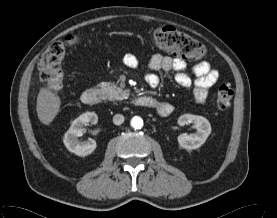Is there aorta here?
I'll use <instances>...</instances> for the list:
<instances>
[{
    "instance_id": "762f6f07",
    "label": "aorta",
    "mask_w": 277,
    "mask_h": 218,
    "mask_svg": "<svg viewBox=\"0 0 277 218\" xmlns=\"http://www.w3.org/2000/svg\"><path fill=\"white\" fill-rule=\"evenodd\" d=\"M131 126L134 129H141L142 126H143V120H142V118H140L138 116L133 117L132 120H131Z\"/></svg>"
}]
</instances>
